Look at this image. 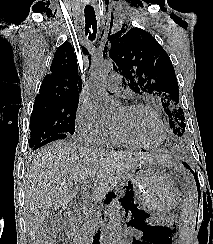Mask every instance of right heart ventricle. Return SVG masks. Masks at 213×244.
Segmentation results:
<instances>
[{
    "instance_id": "e07e8e85",
    "label": "right heart ventricle",
    "mask_w": 213,
    "mask_h": 244,
    "mask_svg": "<svg viewBox=\"0 0 213 244\" xmlns=\"http://www.w3.org/2000/svg\"><path fill=\"white\" fill-rule=\"evenodd\" d=\"M104 143L110 145V146H121L122 143H120L116 137L113 134V131L111 130L106 138V140L104 141Z\"/></svg>"
}]
</instances>
